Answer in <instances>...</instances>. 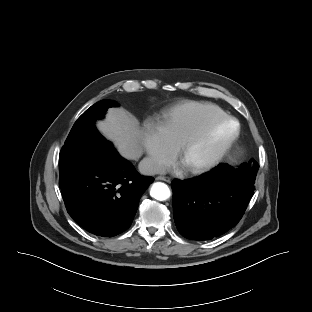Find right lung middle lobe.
Wrapping results in <instances>:
<instances>
[{"mask_svg":"<svg viewBox=\"0 0 312 312\" xmlns=\"http://www.w3.org/2000/svg\"><path fill=\"white\" fill-rule=\"evenodd\" d=\"M117 103L102 100L87 109L75 122L59 155L60 178H66L111 145L96 129L95 121Z\"/></svg>","mask_w":312,"mask_h":312,"instance_id":"dd1d6c3e","label":"right lung middle lobe"}]
</instances>
